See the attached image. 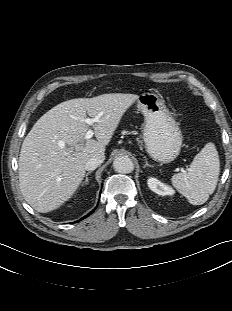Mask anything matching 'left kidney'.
<instances>
[{
    "instance_id": "1",
    "label": "left kidney",
    "mask_w": 232,
    "mask_h": 311,
    "mask_svg": "<svg viewBox=\"0 0 232 311\" xmlns=\"http://www.w3.org/2000/svg\"><path fill=\"white\" fill-rule=\"evenodd\" d=\"M147 184L148 187L158 195L165 196V195H173L175 193L170 186L162 183L160 180L154 177H150L147 180Z\"/></svg>"
}]
</instances>
